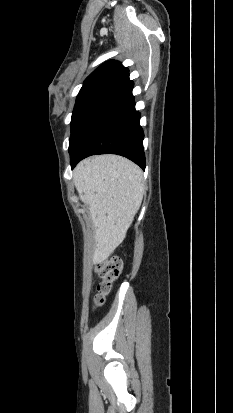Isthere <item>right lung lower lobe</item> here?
I'll return each instance as SVG.
<instances>
[{
	"label": "right lung lower lobe",
	"instance_id": "right-lung-lower-lobe-1",
	"mask_svg": "<svg viewBox=\"0 0 233 413\" xmlns=\"http://www.w3.org/2000/svg\"><path fill=\"white\" fill-rule=\"evenodd\" d=\"M129 74L119 78L91 113L70 151L71 166L94 154H118L145 169L143 130Z\"/></svg>",
	"mask_w": 233,
	"mask_h": 413
}]
</instances>
